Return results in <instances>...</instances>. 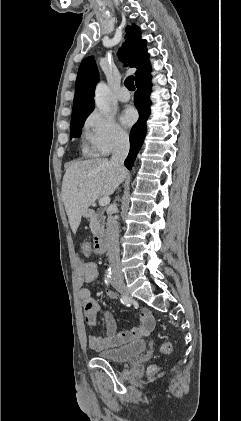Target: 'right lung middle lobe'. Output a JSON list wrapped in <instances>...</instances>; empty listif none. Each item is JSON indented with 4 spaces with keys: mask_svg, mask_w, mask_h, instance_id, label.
Listing matches in <instances>:
<instances>
[{
    "mask_svg": "<svg viewBox=\"0 0 241 421\" xmlns=\"http://www.w3.org/2000/svg\"><path fill=\"white\" fill-rule=\"evenodd\" d=\"M88 115L71 119V137H79L81 129Z\"/></svg>",
    "mask_w": 241,
    "mask_h": 421,
    "instance_id": "dd1d6c3e",
    "label": "right lung middle lobe"
}]
</instances>
